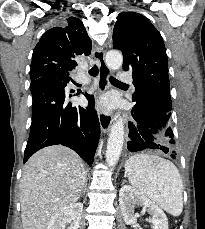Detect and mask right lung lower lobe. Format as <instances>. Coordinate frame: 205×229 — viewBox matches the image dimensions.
<instances>
[{
    "label": "right lung lower lobe",
    "instance_id": "98d812e1",
    "mask_svg": "<svg viewBox=\"0 0 205 229\" xmlns=\"http://www.w3.org/2000/svg\"><path fill=\"white\" fill-rule=\"evenodd\" d=\"M66 85V82L53 75L31 82L32 123L24 163L39 149L62 144L76 151L84 161L92 165L100 137L94 98L84 94L89 102L86 109L72 105L68 99L75 94L66 91Z\"/></svg>",
    "mask_w": 205,
    "mask_h": 229
}]
</instances>
